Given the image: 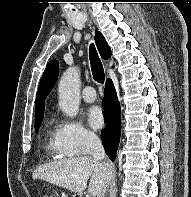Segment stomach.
I'll return each instance as SVG.
<instances>
[{
  "label": "stomach",
  "mask_w": 191,
  "mask_h": 197,
  "mask_svg": "<svg viewBox=\"0 0 191 197\" xmlns=\"http://www.w3.org/2000/svg\"><path fill=\"white\" fill-rule=\"evenodd\" d=\"M73 197H81L79 194H77V195H74Z\"/></svg>",
  "instance_id": "0dacf381"
}]
</instances>
